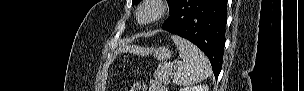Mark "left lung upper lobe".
Wrapping results in <instances>:
<instances>
[{
  "label": "left lung upper lobe",
  "instance_id": "5c2ea615",
  "mask_svg": "<svg viewBox=\"0 0 304 91\" xmlns=\"http://www.w3.org/2000/svg\"><path fill=\"white\" fill-rule=\"evenodd\" d=\"M141 0H132V5H136L140 2ZM179 0H167L168 5H169V11L171 12V10L173 9V7L176 5V3Z\"/></svg>",
  "mask_w": 304,
  "mask_h": 91
}]
</instances>
